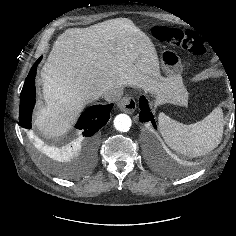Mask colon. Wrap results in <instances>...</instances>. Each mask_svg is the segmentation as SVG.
I'll return each instance as SVG.
<instances>
[{"label": "colon", "mask_w": 236, "mask_h": 236, "mask_svg": "<svg viewBox=\"0 0 236 236\" xmlns=\"http://www.w3.org/2000/svg\"><path fill=\"white\" fill-rule=\"evenodd\" d=\"M153 35L158 40L182 48L195 56H204L207 54L203 42L190 32L177 28L156 26L153 30Z\"/></svg>", "instance_id": "5ec220e1"}]
</instances>
